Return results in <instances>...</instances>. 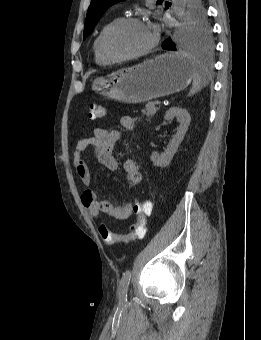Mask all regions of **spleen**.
I'll return each instance as SVG.
<instances>
[{"label":"spleen","instance_id":"spleen-1","mask_svg":"<svg viewBox=\"0 0 261 340\" xmlns=\"http://www.w3.org/2000/svg\"><path fill=\"white\" fill-rule=\"evenodd\" d=\"M193 64L195 70L193 74V85L190 90V94H194L200 91L207 84L206 72L203 67L196 61H193Z\"/></svg>","mask_w":261,"mask_h":340}]
</instances>
